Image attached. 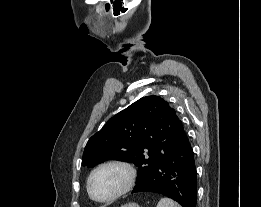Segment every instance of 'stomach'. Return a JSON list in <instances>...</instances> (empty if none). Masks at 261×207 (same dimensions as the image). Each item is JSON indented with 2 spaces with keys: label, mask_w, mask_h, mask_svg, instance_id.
I'll list each match as a JSON object with an SVG mask.
<instances>
[{
  "label": "stomach",
  "mask_w": 261,
  "mask_h": 207,
  "mask_svg": "<svg viewBox=\"0 0 261 207\" xmlns=\"http://www.w3.org/2000/svg\"><path fill=\"white\" fill-rule=\"evenodd\" d=\"M121 207H140V206L138 204H136V203H129V204H125V205H123Z\"/></svg>",
  "instance_id": "1"
}]
</instances>
